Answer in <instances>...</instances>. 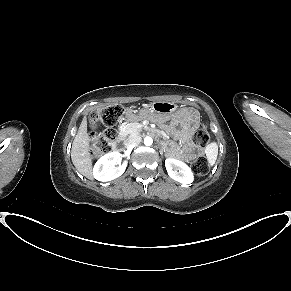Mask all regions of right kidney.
<instances>
[{"mask_svg": "<svg viewBox=\"0 0 291 291\" xmlns=\"http://www.w3.org/2000/svg\"><path fill=\"white\" fill-rule=\"evenodd\" d=\"M122 155L119 152H110L102 156L94 165L93 177L98 181L107 182L121 176L127 166V161L122 164ZM115 165H118L115 167Z\"/></svg>", "mask_w": 291, "mask_h": 291, "instance_id": "obj_1", "label": "right kidney"}]
</instances>
